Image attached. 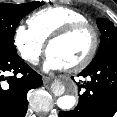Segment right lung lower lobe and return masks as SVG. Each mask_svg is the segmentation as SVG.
Wrapping results in <instances>:
<instances>
[{
  "instance_id": "right-lung-lower-lobe-1",
  "label": "right lung lower lobe",
  "mask_w": 117,
  "mask_h": 117,
  "mask_svg": "<svg viewBox=\"0 0 117 117\" xmlns=\"http://www.w3.org/2000/svg\"><path fill=\"white\" fill-rule=\"evenodd\" d=\"M12 72V76H5ZM21 73L20 77L17 74ZM42 85V77L18 56L0 54V117H24L27 92Z\"/></svg>"
}]
</instances>
